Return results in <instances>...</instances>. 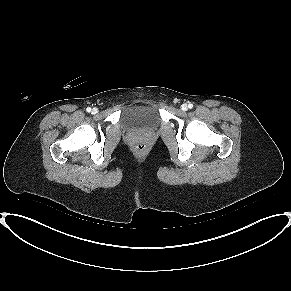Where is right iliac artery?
Masks as SVG:
<instances>
[{"label": "right iliac artery", "mask_w": 291, "mask_h": 291, "mask_svg": "<svg viewBox=\"0 0 291 291\" xmlns=\"http://www.w3.org/2000/svg\"><path fill=\"white\" fill-rule=\"evenodd\" d=\"M86 111L87 112H91V108L90 107H87Z\"/></svg>", "instance_id": "82829eb1"}]
</instances>
